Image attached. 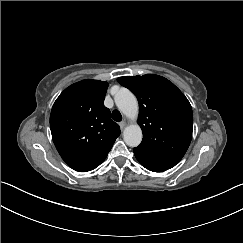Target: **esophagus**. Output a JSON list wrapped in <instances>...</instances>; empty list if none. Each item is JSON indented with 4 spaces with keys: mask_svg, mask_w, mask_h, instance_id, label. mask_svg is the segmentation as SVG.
Here are the masks:
<instances>
[{
    "mask_svg": "<svg viewBox=\"0 0 243 243\" xmlns=\"http://www.w3.org/2000/svg\"><path fill=\"white\" fill-rule=\"evenodd\" d=\"M119 126H120L121 130H123L125 128V126H126V122L125 121H121L119 123Z\"/></svg>",
    "mask_w": 243,
    "mask_h": 243,
    "instance_id": "obj_1",
    "label": "esophagus"
}]
</instances>
